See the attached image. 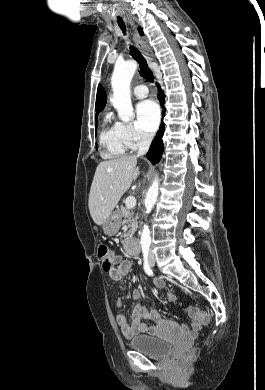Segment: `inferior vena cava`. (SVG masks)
Masks as SVG:
<instances>
[{"mask_svg": "<svg viewBox=\"0 0 265 390\" xmlns=\"http://www.w3.org/2000/svg\"><path fill=\"white\" fill-rule=\"evenodd\" d=\"M152 138H153V136L151 134L143 133L141 135V139L139 141V149H138V152H137L138 156L144 155V154L147 153V151H148V149L150 147Z\"/></svg>", "mask_w": 265, "mask_h": 390, "instance_id": "1", "label": "inferior vena cava"}]
</instances>
